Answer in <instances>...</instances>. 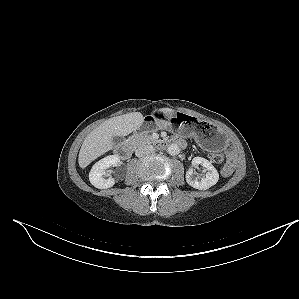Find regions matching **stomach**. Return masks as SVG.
Wrapping results in <instances>:
<instances>
[{
	"mask_svg": "<svg viewBox=\"0 0 299 299\" xmlns=\"http://www.w3.org/2000/svg\"><path fill=\"white\" fill-rule=\"evenodd\" d=\"M174 126H177L180 133L193 136L196 142L208 151L221 149L226 141L225 134L219 128L206 122L197 124L192 115L183 112L167 114L155 110L145 118L139 131L147 133L157 129L172 130Z\"/></svg>",
	"mask_w": 299,
	"mask_h": 299,
	"instance_id": "1",
	"label": "stomach"
}]
</instances>
